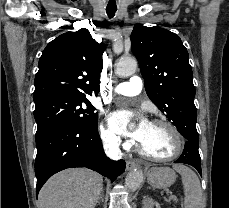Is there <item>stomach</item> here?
Segmentation results:
<instances>
[{
    "instance_id": "stomach-1",
    "label": "stomach",
    "mask_w": 229,
    "mask_h": 208,
    "mask_svg": "<svg viewBox=\"0 0 229 208\" xmlns=\"http://www.w3.org/2000/svg\"><path fill=\"white\" fill-rule=\"evenodd\" d=\"M145 178L150 186L165 190L174 184L176 174L171 168H150V170H145Z\"/></svg>"
}]
</instances>
